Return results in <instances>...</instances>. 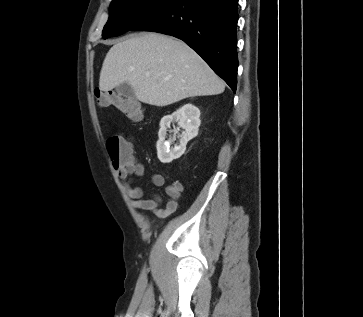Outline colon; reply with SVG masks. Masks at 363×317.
Here are the masks:
<instances>
[{
  "mask_svg": "<svg viewBox=\"0 0 363 317\" xmlns=\"http://www.w3.org/2000/svg\"><path fill=\"white\" fill-rule=\"evenodd\" d=\"M95 98L104 107L112 106L133 121L142 118L140 104L133 98L123 96L112 90H96ZM106 150L115 166L133 162L131 144L121 134H113L106 140Z\"/></svg>",
  "mask_w": 363,
  "mask_h": 317,
  "instance_id": "colon-1",
  "label": "colon"
}]
</instances>
